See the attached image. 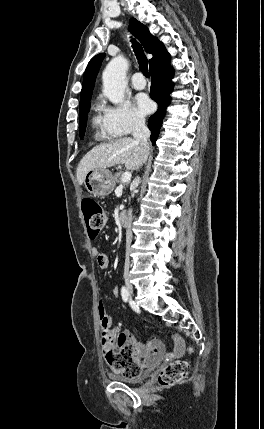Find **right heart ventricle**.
Wrapping results in <instances>:
<instances>
[{
  "instance_id": "e07e8e85",
  "label": "right heart ventricle",
  "mask_w": 264,
  "mask_h": 429,
  "mask_svg": "<svg viewBox=\"0 0 264 429\" xmlns=\"http://www.w3.org/2000/svg\"><path fill=\"white\" fill-rule=\"evenodd\" d=\"M93 128L95 130V138L98 140H111L116 136L105 125L103 116L96 114L92 119Z\"/></svg>"
}]
</instances>
